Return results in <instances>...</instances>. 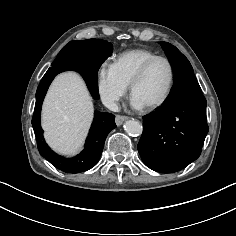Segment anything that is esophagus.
Here are the masks:
<instances>
[{
	"mask_svg": "<svg viewBox=\"0 0 236 236\" xmlns=\"http://www.w3.org/2000/svg\"><path fill=\"white\" fill-rule=\"evenodd\" d=\"M128 117L127 116H124V115H117L116 118H115V122H116V125L117 126H120L122 125V123L127 120Z\"/></svg>",
	"mask_w": 236,
	"mask_h": 236,
	"instance_id": "esophagus-1",
	"label": "esophagus"
}]
</instances>
